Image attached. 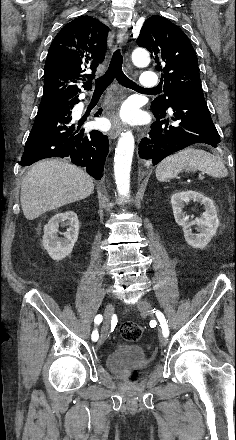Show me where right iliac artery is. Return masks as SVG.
Instances as JSON below:
<instances>
[{
  "label": "right iliac artery",
  "mask_w": 236,
  "mask_h": 440,
  "mask_svg": "<svg viewBox=\"0 0 236 440\" xmlns=\"http://www.w3.org/2000/svg\"><path fill=\"white\" fill-rule=\"evenodd\" d=\"M102 319H103V318H102V315L98 314V315L95 317V319H94L95 324H96V325H99V324L102 322ZM91 338H92L93 341H97V340H98V338H99V334H98L97 329H95V330L92 332V336H91Z\"/></svg>",
  "instance_id": "right-iliac-artery-1"
}]
</instances>
